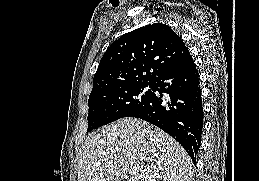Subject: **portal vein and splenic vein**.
Here are the masks:
<instances>
[{
  "mask_svg": "<svg viewBox=\"0 0 259 181\" xmlns=\"http://www.w3.org/2000/svg\"><path fill=\"white\" fill-rule=\"evenodd\" d=\"M129 173H130L131 175L137 174V170L134 169V168H132V169L129 170Z\"/></svg>",
  "mask_w": 259,
  "mask_h": 181,
  "instance_id": "obj_1",
  "label": "portal vein and splenic vein"
}]
</instances>
